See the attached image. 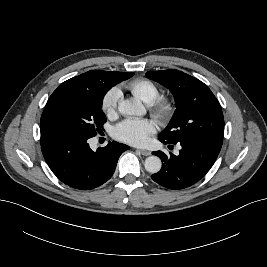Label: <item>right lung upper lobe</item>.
Listing matches in <instances>:
<instances>
[{"label": "right lung upper lobe", "instance_id": "right-lung-upper-lobe-1", "mask_svg": "<svg viewBox=\"0 0 267 267\" xmlns=\"http://www.w3.org/2000/svg\"><path fill=\"white\" fill-rule=\"evenodd\" d=\"M117 73L120 72L98 71V70L88 71L86 73H83L79 76L73 77L63 82L62 85L89 86L97 82L106 83L113 80L117 75Z\"/></svg>", "mask_w": 267, "mask_h": 267}]
</instances>
